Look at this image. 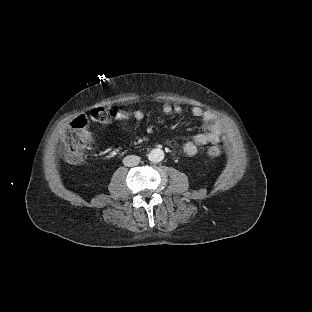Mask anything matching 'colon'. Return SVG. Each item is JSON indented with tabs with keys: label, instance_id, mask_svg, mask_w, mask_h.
Segmentation results:
<instances>
[{
	"label": "colon",
	"instance_id": "5ec220e1",
	"mask_svg": "<svg viewBox=\"0 0 312 312\" xmlns=\"http://www.w3.org/2000/svg\"><path fill=\"white\" fill-rule=\"evenodd\" d=\"M120 109L97 107L90 111L93 122L100 126H109L119 116ZM88 121L83 116H76L71 121V128L63 138V153L65 159L70 163H81L93 145V138L87 130ZM209 154L218 156L221 148L213 145L209 148Z\"/></svg>",
	"mask_w": 312,
	"mask_h": 312
}]
</instances>
